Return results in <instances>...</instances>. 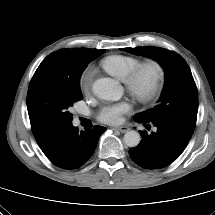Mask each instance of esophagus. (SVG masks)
<instances>
[{
    "label": "esophagus",
    "instance_id": "1",
    "mask_svg": "<svg viewBox=\"0 0 215 215\" xmlns=\"http://www.w3.org/2000/svg\"><path fill=\"white\" fill-rule=\"evenodd\" d=\"M113 130L119 131L121 133H125L129 130V128L126 126H120V127H113Z\"/></svg>",
    "mask_w": 215,
    "mask_h": 215
}]
</instances>
